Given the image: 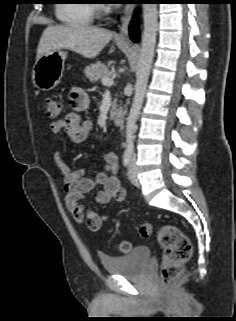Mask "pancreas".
<instances>
[{"label": "pancreas", "mask_w": 236, "mask_h": 321, "mask_svg": "<svg viewBox=\"0 0 236 321\" xmlns=\"http://www.w3.org/2000/svg\"><path fill=\"white\" fill-rule=\"evenodd\" d=\"M85 76L93 83L97 82L98 80H102L105 76H110L111 72L108 67L103 64L102 62L98 61L90 66L86 67L84 70ZM117 107V100L115 99L112 103V112L115 111Z\"/></svg>", "instance_id": "pancreas-1"}]
</instances>
